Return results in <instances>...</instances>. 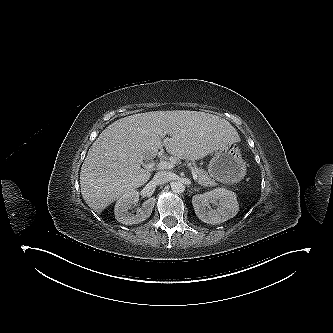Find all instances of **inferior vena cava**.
Returning a JSON list of instances; mask_svg holds the SVG:
<instances>
[{
	"label": "inferior vena cava",
	"mask_w": 333,
	"mask_h": 333,
	"mask_svg": "<svg viewBox=\"0 0 333 333\" xmlns=\"http://www.w3.org/2000/svg\"><path fill=\"white\" fill-rule=\"evenodd\" d=\"M172 179L171 174L166 171H159L154 175L153 181L157 185L165 184Z\"/></svg>",
	"instance_id": "inferior-vena-cava-1"
}]
</instances>
